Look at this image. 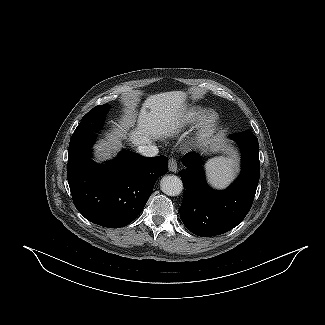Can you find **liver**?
Returning <instances> with one entry per match:
<instances>
[{"label": "liver", "mask_w": 325, "mask_h": 325, "mask_svg": "<svg viewBox=\"0 0 325 325\" xmlns=\"http://www.w3.org/2000/svg\"><path fill=\"white\" fill-rule=\"evenodd\" d=\"M187 94L183 91H170L151 95L142 105L137 117V127L130 133L129 140L133 146L150 144L153 140L168 135L178 124L185 110ZM133 110L127 112L124 126L135 123ZM117 136L111 135L102 146L109 150L119 147Z\"/></svg>", "instance_id": "liver-1"}]
</instances>
